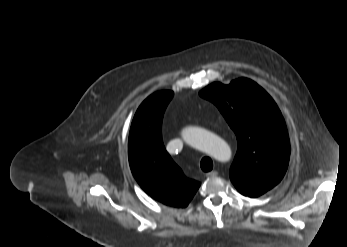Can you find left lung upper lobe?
<instances>
[{"label":"left lung upper lobe","instance_id":"left-lung-upper-lobe-1","mask_svg":"<svg viewBox=\"0 0 347 247\" xmlns=\"http://www.w3.org/2000/svg\"><path fill=\"white\" fill-rule=\"evenodd\" d=\"M200 96L213 102L235 132L238 149L230 179L245 196L261 195L286 173L290 142L284 118L270 95L240 78L229 85L212 83Z\"/></svg>","mask_w":347,"mask_h":247}]
</instances>
